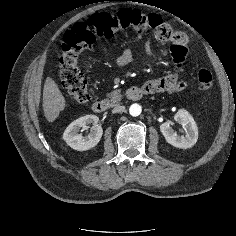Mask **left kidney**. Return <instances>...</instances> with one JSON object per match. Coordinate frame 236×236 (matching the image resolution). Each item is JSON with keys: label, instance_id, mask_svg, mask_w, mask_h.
Masks as SVG:
<instances>
[{"label": "left kidney", "instance_id": "5707ae66", "mask_svg": "<svg viewBox=\"0 0 236 236\" xmlns=\"http://www.w3.org/2000/svg\"><path fill=\"white\" fill-rule=\"evenodd\" d=\"M176 122L181 124L186 131L185 136L178 135L171 125V121H167L160 126V131L165 137L166 141L177 148L187 149L191 148L198 139V127L193 117L184 109H180L174 116Z\"/></svg>", "mask_w": 236, "mask_h": 236}]
</instances>
